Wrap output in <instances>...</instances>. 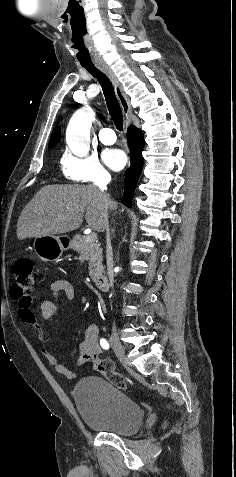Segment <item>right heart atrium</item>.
Wrapping results in <instances>:
<instances>
[{
  "label": "right heart atrium",
  "instance_id": "1",
  "mask_svg": "<svg viewBox=\"0 0 236 477\" xmlns=\"http://www.w3.org/2000/svg\"><path fill=\"white\" fill-rule=\"evenodd\" d=\"M64 176L80 184H101L106 182L110 174L95 156H75L66 154L61 160Z\"/></svg>",
  "mask_w": 236,
  "mask_h": 477
}]
</instances>
